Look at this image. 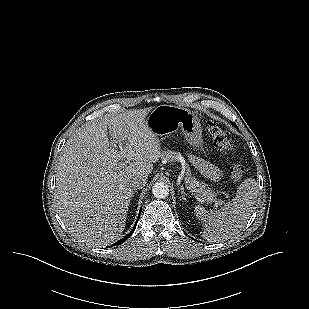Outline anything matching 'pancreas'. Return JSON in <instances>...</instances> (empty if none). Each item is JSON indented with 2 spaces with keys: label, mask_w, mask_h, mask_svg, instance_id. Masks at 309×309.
I'll return each instance as SVG.
<instances>
[{
  "label": "pancreas",
  "mask_w": 309,
  "mask_h": 309,
  "mask_svg": "<svg viewBox=\"0 0 309 309\" xmlns=\"http://www.w3.org/2000/svg\"><path fill=\"white\" fill-rule=\"evenodd\" d=\"M179 156V153L170 150L162 152V157L171 162L176 161ZM185 182L191 190H195L199 196L204 197L205 201L212 203L216 200V192L207 187L205 183L199 182L194 177H192L189 170L186 173Z\"/></svg>",
  "instance_id": "1"
}]
</instances>
